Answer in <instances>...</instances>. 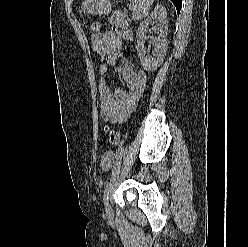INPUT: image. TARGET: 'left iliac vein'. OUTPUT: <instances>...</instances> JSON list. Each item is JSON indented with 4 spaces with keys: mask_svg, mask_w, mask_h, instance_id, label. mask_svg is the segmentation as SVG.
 <instances>
[{
    "mask_svg": "<svg viewBox=\"0 0 248 247\" xmlns=\"http://www.w3.org/2000/svg\"><path fill=\"white\" fill-rule=\"evenodd\" d=\"M112 210H111V206H110V202L109 200L107 201V213H110Z\"/></svg>",
    "mask_w": 248,
    "mask_h": 247,
    "instance_id": "obj_1",
    "label": "left iliac vein"
}]
</instances>
